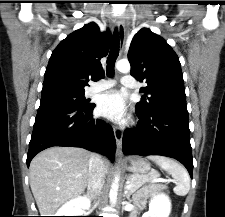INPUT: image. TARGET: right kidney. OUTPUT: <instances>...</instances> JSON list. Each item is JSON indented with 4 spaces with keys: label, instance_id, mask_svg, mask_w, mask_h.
<instances>
[{
    "label": "right kidney",
    "instance_id": "ca27d5eb",
    "mask_svg": "<svg viewBox=\"0 0 225 217\" xmlns=\"http://www.w3.org/2000/svg\"><path fill=\"white\" fill-rule=\"evenodd\" d=\"M91 201L87 197H78L63 205L56 216H81L84 210H89Z\"/></svg>",
    "mask_w": 225,
    "mask_h": 217
}]
</instances>
